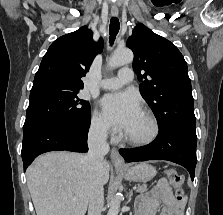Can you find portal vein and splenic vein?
I'll return each mask as SVG.
<instances>
[{
	"label": "portal vein and splenic vein",
	"mask_w": 223,
	"mask_h": 215,
	"mask_svg": "<svg viewBox=\"0 0 223 215\" xmlns=\"http://www.w3.org/2000/svg\"><path fill=\"white\" fill-rule=\"evenodd\" d=\"M137 187L134 185V186H132V190L134 189H136ZM72 199H77V197H75V195H74V197H72Z\"/></svg>",
	"instance_id": "portal-vein-and-splenic-vein-1"
}]
</instances>
